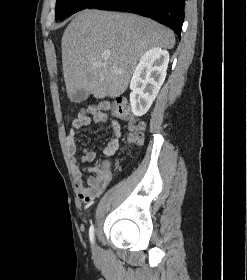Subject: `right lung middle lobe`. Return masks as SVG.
<instances>
[{
  "instance_id": "1",
  "label": "right lung middle lobe",
  "mask_w": 247,
  "mask_h": 280,
  "mask_svg": "<svg viewBox=\"0 0 247 280\" xmlns=\"http://www.w3.org/2000/svg\"><path fill=\"white\" fill-rule=\"evenodd\" d=\"M96 1L98 0H57L55 7L56 20H63L80 10L89 8Z\"/></svg>"
}]
</instances>
